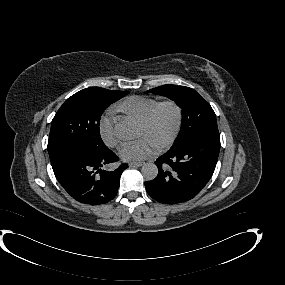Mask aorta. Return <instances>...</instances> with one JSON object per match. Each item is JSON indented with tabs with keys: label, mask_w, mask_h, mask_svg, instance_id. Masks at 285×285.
<instances>
[{
	"label": "aorta",
	"mask_w": 285,
	"mask_h": 285,
	"mask_svg": "<svg viewBox=\"0 0 285 285\" xmlns=\"http://www.w3.org/2000/svg\"><path fill=\"white\" fill-rule=\"evenodd\" d=\"M125 125L123 124H119L117 127H116V133L118 135V137H123L124 136V133H125ZM142 174L144 176V178L148 181H151V180H154L157 175H158V168L156 166V164L154 163H145L143 166H142Z\"/></svg>",
	"instance_id": "obj_1"
}]
</instances>
